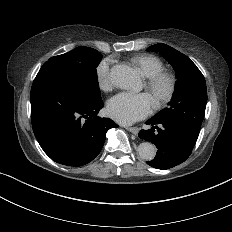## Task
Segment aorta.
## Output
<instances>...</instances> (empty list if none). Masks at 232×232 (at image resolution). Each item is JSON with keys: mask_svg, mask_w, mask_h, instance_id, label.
Here are the masks:
<instances>
[{"mask_svg": "<svg viewBox=\"0 0 232 232\" xmlns=\"http://www.w3.org/2000/svg\"><path fill=\"white\" fill-rule=\"evenodd\" d=\"M111 83L121 89H135L139 82V76L129 66L117 64L110 70ZM138 155L141 159L151 161L156 155V147L150 142H143L138 146Z\"/></svg>", "mask_w": 232, "mask_h": 232, "instance_id": "1", "label": "aorta"}]
</instances>
